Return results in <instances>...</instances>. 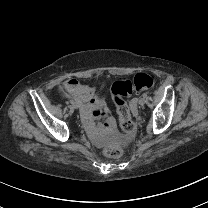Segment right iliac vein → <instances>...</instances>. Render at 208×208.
<instances>
[{
    "mask_svg": "<svg viewBox=\"0 0 208 208\" xmlns=\"http://www.w3.org/2000/svg\"><path fill=\"white\" fill-rule=\"evenodd\" d=\"M73 107H74L75 109H78V108H79L78 103H74V104H73Z\"/></svg>",
    "mask_w": 208,
    "mask_h": 208,
    "instance_id": "obj_1",
    "label": "right iliac vein"
}]
</instances>
